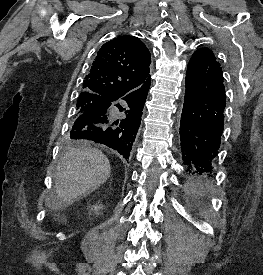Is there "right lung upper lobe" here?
Segmentation results:
<instances>
[{"instance_id":"cb5924a9","label":"right lung upper lobe","mask_w":263,"mask_h":275,"mask_svg":"<svg viewBox=\"0 0 263 275\" xmlns=\"http://www.w3.org/2000/svg\"><path fill=\"white\" fill-rule=\"evenodd\" d=\"M150 63V52L140 39L118 36L97 52L80 95L94 94L104 100L131 95L151 81Z\"/></svg>"}]
</instances>
